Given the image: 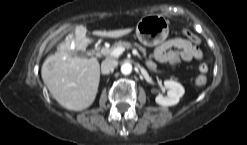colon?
<instances>
[{
	"mask_svg": "<svg viewBox=\"0 0 247 145\" xmlns=\"http://www.w3.org/2000/svg\"><path fill=\"white\" fill-rule=\"evenodd\" d=\"M184 33L190 39L195 38V35L189 31H185ZM208 69H209V67L206 63H201L199 65V71L201 74L199 76H197L195 79V85L197 87H203L207 83V78H206L205 74L208 72Z\"/></svg>",
	"mask_w": 247,
	"mask_h": 145,
	"instance_id": "colon-1",
	"label": "colon"
}]
</instances>
